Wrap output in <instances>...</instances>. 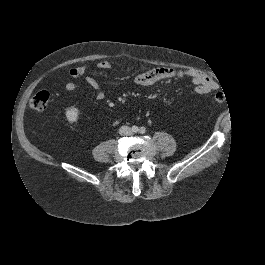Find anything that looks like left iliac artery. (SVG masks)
I'll list each match as a JSON object with an SVG mask.
<instances>
[{
    "label": "left iliac artery",
    "instance_id": "left-iliac-artery-1",
    "mask_svg": "<svg viewBox=\"0 0 265 265\" xmlns=\"http://www.w3.org/2000/svg\"><path fill=\"white\" fill-rule=\"evenodd\" d=\"M139 132H140L141 134H144V133L146 132L145 127H141V128L139 129Z\"/></svg>",
    "mask_w": 265,
    "mask_h": 265
}]
</instances>
